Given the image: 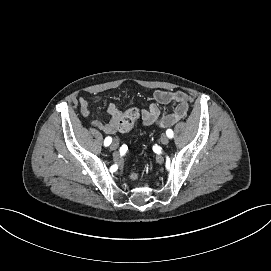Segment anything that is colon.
<instances>
[{
  "mask_svg": "<svg viewBox=\"0 0 271 271\" xmlns=\"http://www.w3.org/2000/svg\"><path fill=\"white\" fill-rule=\"evenodd\" d=\"M139 116V113L136 109L134 108H131V109H128L127 111H125V113L121 116L119 122H118V129L121 131V132H129L137 118ZM138 173L133 171L131 174H130V178L132 180H137L138 179Z\"/></svg>",
  "mask_w": 271,
  "mask_h": 271,
  "instance_id": "5ec220e1",
  "label": "colon"
}]
</instances>
